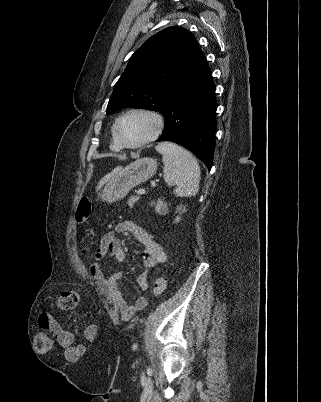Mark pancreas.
<instances>
[{
    "instance_id": "obj_1",
    "label": "pancreas",
    "mask_w": 321,
    "mask_h": 402,
    "mask_svg": "<svg viewBox=\"0 0 321 402\" xmlns=\"http://www.w3.org/2000/svg\"><path fill=\"white\" fill-rule=\"evenodd\" d=\"M137 200H138V198L137 197H133V196H131L129 199H128V205H129V207H133V205L137 202Z\"/></svg>"
}]
</instances>
